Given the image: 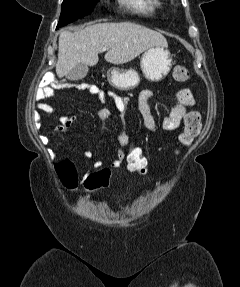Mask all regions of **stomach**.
Listing matches in <instances>:
<instances>
[{"instance_id": "obj_1", "label": "stomach", "mask_w": 240, "mask_h": 287, "mask_svg": "<svg viewBox=\"0 0 240 287\" xmlns=\"http://www.w3.org/2000/svg\"><path fill=\"white\" fill-rule=\"evenodd\" d=\"M173 60L167 46L148 48L142 55L140 67L146 79L152 82L163 80L172 68ZM111 85L121 90H129L140 82L139 74L134 69L112 67L107 71Z\"/></svg>"}]
</instances>
